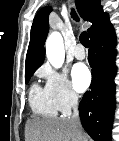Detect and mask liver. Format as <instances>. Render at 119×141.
I'll return each instance as SVG.
<instances>
[{"label":"liver","instance_id":"liver-1","mask_svg":"<svg viewBox=\"0 0 119 141\" xmlns=\"http://www.w3.org/2000/svg\"><path fill=\"white\" fill-rule=\"evenodd\" d=\"M27 141H88L68 118L32 117L26 122Z\"/></svg>","mask_w":119,"mask_h":141}]
</instances>
